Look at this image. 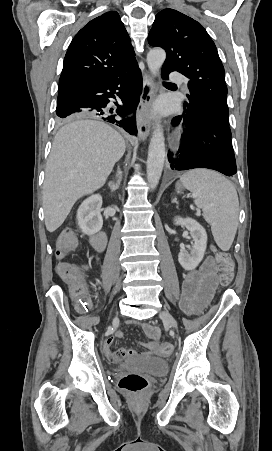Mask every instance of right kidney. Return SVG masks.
<instances>
[{
	"instance_id": "right-kidney-1",
	"label": "right kidney",
	"mask_w": 272,
	"mask_h": 451,
	"mask_svg": "<svg viewBox=\"0 0 272 451\" xmlns=\"http://www.w3.org/2000/svg\"><path fill=\"white\" fill-rule=\"evenodd\" d=\"M102 196L95 194L82 202L77 210L78 226L81 227L83 233L92 235L96 231H100L103 226L101 216Z\"/></svg>"
}]
</instances>
